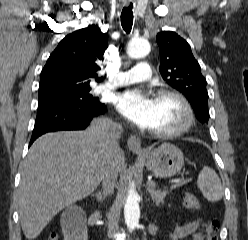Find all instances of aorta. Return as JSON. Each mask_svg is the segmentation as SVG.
Wrapping results in <instances>:
<instances>
[{
    "label": "aorta",
    "instance_id": "762f6f07",
    "mask_svg": "<svg viewBox=\"0 0 248 240\" xmlns=\"http://www.w3.org/2000/svg\"><path fill=\"white\" fill-rule=\"evenodd\" d=\"M150 52V44L144 39H133L127 46V55L132 59L145 57ZM139 194L136 192L133 183L128 190L124 206L125 223L129 230H134L139 225L140 208Z\"/></svg>",
    "mask_w": 248,
    "mask_h": 240
}]
</instances>
